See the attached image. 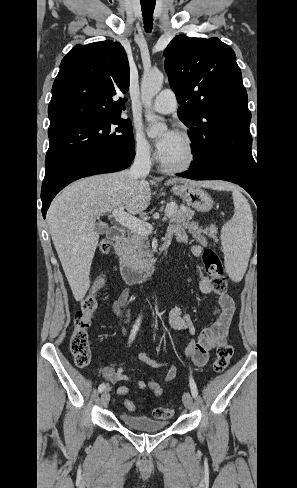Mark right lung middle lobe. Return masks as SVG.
I'll return each mask as SVG.
<instances>
[{"label": "right lung middle lobe", "instance_id": "right-lung-middle-lobe-1", "mask_svg": "<svg viewBox=\"0 0 297 488\" xmlns=\"http://www.w3.org/2000/svg\"><path fill=\"white\" fill-rule=\"evenodd\" d=\"M48 136L45 174L83 154L135 146L131 122L121 116L74 124Z\"/></svg>", "mask_w": 297, "mask_h": 488}]
</instances>
